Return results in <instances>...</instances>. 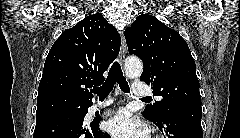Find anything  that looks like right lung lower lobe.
<instances>
[{"label": "right lung lower lobe", "instance_id": "right-lung-lower-lobe-1", "mask_svg": "<svg viewBox=\"0 0 240 138\" xmlns=\"http://www.w3.org/2000/svg\"><path fill=\"white\" fill-rule=\"evenodd\" d=\"M88 112L64 110L36 118L33 138H110L99 129V121L83 123Z\"/></svg>", "mask_w": 240, "mask_h": 138}]
</instances>
